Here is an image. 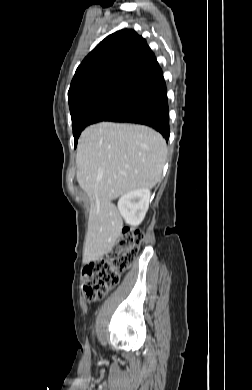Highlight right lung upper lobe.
Here are the masks:
<instances>
[{"label":"right lung upper lobe","mask_w":252,"mask_h":390,"mask_svg":"<svg viewBox=\"0 0 252 390\" xmlns=\"http://www.w3.org/2000/svg\"><path fill=\"white\" fill-rule=\"evenodd\" d=\"M164 82L146 40L134 30L103 39L78 66L68 91L70 112L102 97L138 98Z\"/></svg>","instance_id":"right-lung-upper-lobe-1"}]
</instances>
